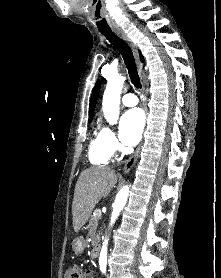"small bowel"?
<instances>
[{"label":"small bowel","instance_id":"small-bowel-1","mask_svg":"<svg viewBox=\"0 0 221 278\" xmlns=\"http://www.w3.org/2000/svg\"><path fill=\"white\" fill-rule=\"evenodd\" d=\"M84 278H93V274L90 270L84 271Z\"/></svg>","mask_w":221,"mask_h":278}]
</instances>
